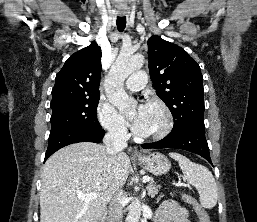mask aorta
Here are the masks:
<instances>
[{
  "label": "aorta",
  "mask_w": 257,
  "mask_h": 222,
  "mask_svg": "<svg viewBox=\"0 0 257 222\" xmlns=\"http://www.w3.org/2000/svg\"><path fill=\"white\" fill-rule=\"evenodd\" d=\"M144 64L141 54H128L121 52L112 65L104 82V89L109 102L121 113H131L136 107V101L129 97L124 89L125 79ZM141 203L135 199L129 206L126 222H139Z\"/></svg>",
  "instance_id": "762f6f07"
}]
</instances>
